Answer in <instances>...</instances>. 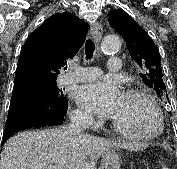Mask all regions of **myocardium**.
I'll use <instances>...</instances> for the list:
<instances>
[{
  "label": "myocardium",
  "instance_id": "obj_1",
  "mask_svg": "<svg viewBox=\"0 0 177 169\" xmlns=\"http://www.w3.org/2000/svg\"><path fill=\"white\" fill-rule=\"evenodd\" d=\"M124 95L126 96H137L145 99L149 105L152 107V109L155 111L157 118H158V128L154 132L150 133H133L126 129H124L120 124H118L114 119H111V125L113 129L126 137L129 138H135V139H141V140H151L156 137H158L164 130V116L161 108L158 106V104L155 102V100L152 98V96L145 90L140 88H128L125 90Z\"/></svg>",
  "mask_w": 177,
  "mask_h": 169
}]
</instances>
